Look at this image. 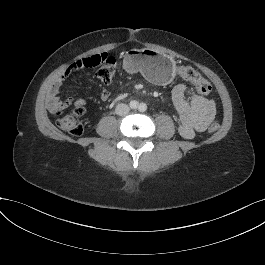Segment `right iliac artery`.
Returning <instances> with one entry per match:
<instances>
[{"mask_svg":"<svg viewBox=\"0 0 265 265\" xmlns=\"http://www.w3.org/2000/svg\"><path fill=\"white\" fill-rule=\"evenodd\" d=\"M130 107H131L132 109H136V108H138V102H137V101H131V102H130Z\"/></svg>","mask_w":265,"mask_h":265,"instance_id":"82829eb1","label":"right iliac artery"}]
</instances>
